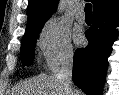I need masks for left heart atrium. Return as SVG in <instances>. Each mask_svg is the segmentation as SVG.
<instances>
[{"instance_id":"39dd6f15","label":"left heart atrium","mask_w":119,"mask_h":95,"mask_svg":"<svg viewBox=\"0 0 119 95\" xmlns=\"http://www.w3.org/2000/svg\"><path fill=\"white\" fill-rule=\"evenodd\" d=\"M75 41H76L77 43H81V41H82V35H81L80 32H77V33L75 34Z\"/></svg>"}]
</instances>
